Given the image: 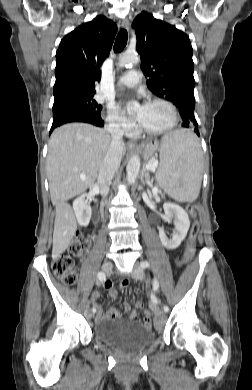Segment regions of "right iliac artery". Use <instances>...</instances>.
Wrapping results in <instances>:
<instances>
[{
  "label": "right iliac artery",
  "mask_w": 252,
  "mask_h": 390,
  "mask_svg": "<svg viewBox=\"0 0 252 390\" xmlns=\"http://www.w3.org/2000/svg\"><path fill=\"white\" fill-rule=\"evenodd\" d=\"M99 280H101L102 282L105 280V274L103 272H99ZM92 311L95 312L96 309L93 307Z\"/></svg>",
  "instance_id": "obj_1"
}]
</instances>
